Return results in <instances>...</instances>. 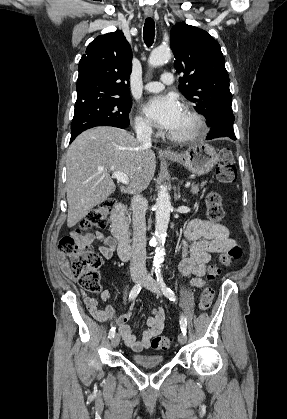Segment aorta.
<instances>
[{
	"label": "aorta",
	"instance_id": "aorta-1",
	"mask_svg": "<svg viewBox=\"0 0 287 419\" xmlns=\"http://www.w3.org/2000/svg\"><path fill=\"white\" fill-rule=\"evenodd\" d=\"M171 58V51L168 47L155 48L148 59V64L151 67H158L163 65ZM155 237L157 247L155 250V257L153 266L159 269L165 256L164 243L166 239L168 224L170 220V213L172 210L170 195L165 185L160 186L155 204Z\"/></svg>",
	"mask_w": 287,
	"mask_h": 419
}]
</instances>
